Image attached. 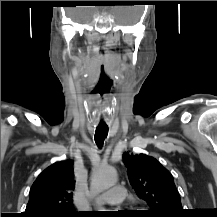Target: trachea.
<instances>
[{
	"instance_id": "trachea-1",
	"label": "trachea",
	"mask_w": 217,
	"mask_h": 217,
	"mask_svg": "<svg viewBox=\"0 0 217 217\" xmlns=\"http://www.w3.org/2000/svg\"><path fill=\"white\" fill-rule=\"evenodd\" d=\"M108 134V127L98 126L95 131V142L99 148L103 146V142Z\"/></svg>"
}]
</instances>
